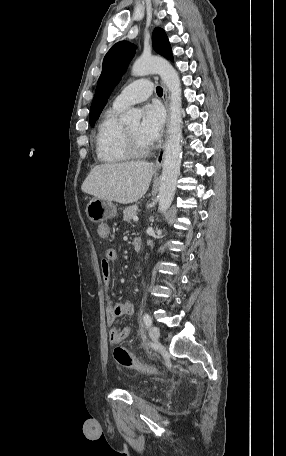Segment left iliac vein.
<instances>
[{"label":"left iliac vein","instance_id":"4c4485c4","mask_svg":"<svg viewBox=\"0 0 286 456\" xmlns=\"http://www.w3.org/2000/svg\"><path fill=\"white\" fill-rule=\"evenodd\" d=\"M149 335L151 337L152 340L156 341L159 339L160 337V331H159V328L156 327V326H151L149 328Z\"/></svg>","mask_w":286,"mask_h":456}]
</instances>
